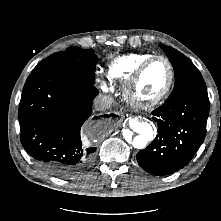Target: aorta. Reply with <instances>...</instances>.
Masks as SVG:
<instances>
[{
  "label": "aorta",
  "instance_id": "1",
  "mask_svg": "<svg viewBox=\"0 0 221 221\" xmlns=\"http://www.w3.org/2000/svg\"><path fill=\"white\" fill-rule=\"evenodd\" d=\"M123 137L134 148L142 149L153 138V128L149 122L134 118L130 122V129L123 131Z\"/></svg>",
  "mask_w": 221,
  "mask_h": 221
}]
</instances>
